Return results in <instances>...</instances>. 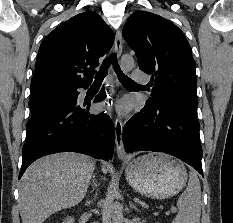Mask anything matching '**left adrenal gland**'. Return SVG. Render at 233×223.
Segmentation results:
<instances>
[{
  "label": "left adrenal gland",
  "mask_w": 233,
  "mask_h": 223,
  "mask_svg": "<svg viewBox=\"0 0 233 223\" xmlns=\"http://www.w3.org/2000/svg\"><path fill=\"white\" fill-rule=\"evenodd\" d=\"M129 205H130L131 209H136V211H138V207H136V205H134L133 201H129Z\"/></svg>",
  "instance_id": "obj_1"
}]
</instances>
